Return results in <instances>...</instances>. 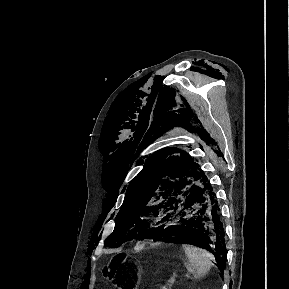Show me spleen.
<instances>
[{
	"instance_id": "obj_1",
	"label": "spleen",
	"mask_w": 289,
	"mask_h": 289,
	"mask_svg": "<svg viewBox=\"0 0 289 289\" xmlns=\"http://www.w3.org/2000/svg\"><path fill=\"white\" fill-rule=\"evenodd\" d=\"M182 248L189 260L187 269L196 278H200L210 271L213 264L211 262L212 255L208 251L188 244H183Z\"/></svg>"
}]
</instances>
